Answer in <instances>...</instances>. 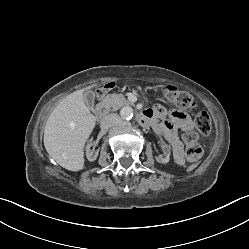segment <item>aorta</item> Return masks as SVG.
<instances>
[{
    "instance_id": "aorta-1",
    "label": "aorta",
    "mask_w": 249,
    "mask_h": 249,
    "mask_svg": "<svg viewBox=\"0 0 249 249\" xmlns=\"http://www.w3.org/2000/svg\"><path fill=\"white\" fill-rule=\"evenodd\" d=\"M122 119L130 120L133 117V110L130 107H125L120 112Z\"/></svg>"
}]
</instances>
